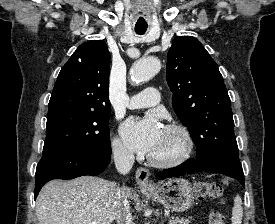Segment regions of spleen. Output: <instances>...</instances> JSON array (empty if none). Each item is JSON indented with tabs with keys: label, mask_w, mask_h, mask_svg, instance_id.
I'll return each mask as SVG.
<instances>
[{
	"label": "spleen",
	"mask_w": 275,
	"mask_h": 224,
	"mask_svg": "<svg viewBox=\"0 0 275 224\" xmlns=\"http://www.w3.org/2000/svg\"><path fill=\"white\" fill-rule=\"evenodd\" d=\"M243 217L242 199L239 195L234 198V207L232 211V224H241Z\"/></svg>",
	"instance_id": "obj_1"
}]
</instances>
